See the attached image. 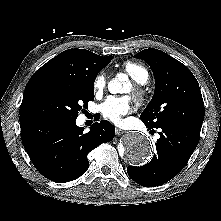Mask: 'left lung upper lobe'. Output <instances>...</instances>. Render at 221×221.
I'll list each match as a JSON object with an SVG mask.
<instances>
[{
    "instance_id": "obj_1",
    "label": "left lung upper lobe",
    "mask_w": 221,
    "mask_h": 221,
    "mask_svg": "<svg viewBox=\"0 0 221 221\" xmlns=\"http://www.w3.org/2000/svg\"><path fill=\"white\" fill-rule=\"evenodd\" d=\"M134 57L147 61L155 77L153 98L140 115L146 127L157 129L173 124L200 134L205 109L192 72L158 49H145Z\"/></svg>"
}]
</instances>
